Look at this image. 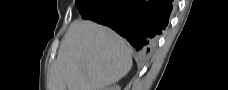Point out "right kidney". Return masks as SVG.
<instances>
[{"label":"right kidney","instance_id":"1","mask_svg":"<svg viewBox=\"0 0 228 90\" xmlns=\"http://www.w3.org/2000/svg\"><path fill=\"white\" fill-rule=\"evenodd\" d=\"M105 90H120V86H118V85L110 86L109 88H106Z\"/></svg>","mask_w":228,"mask_h":90}]
</instances>
